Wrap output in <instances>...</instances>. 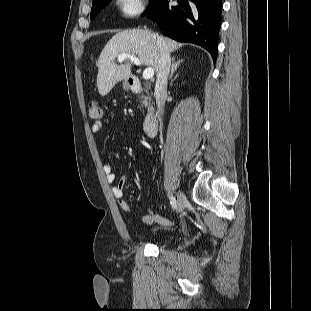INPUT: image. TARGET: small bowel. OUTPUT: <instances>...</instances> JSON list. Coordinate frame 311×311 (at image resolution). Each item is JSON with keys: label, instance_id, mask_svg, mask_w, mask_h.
Returning <instances> with one entry per match:
<instances>
[{"label": "small bowel", "instance_id": "small-bowel-1", "mask_svg": "<svg viewBox=\"0 0 311 311\" xmlns=\"http://www.w3.org/2000/svg\"><path fill=\"white\" fill-rule=\"evenodd\" d=\"M102 128V123L101 122H95L92 124L91 126V131L93 133H97L101 130ZM103 171L106 175V179L110 184H114L117 181V175L114 171L113 165L111 163H105L103 165ZM126 177H121L118 180V183L116 185L112 186V193L113 195L117 198L118 203L120 208L122 209V211H124L125 213H129L130 212V206L127 203V201L124 199V187L126 184ZM140 222L143 225H151L153 223H159L163 226H169L172 224V222L170 220H168L167 218L161 217L158 214H155L153 211H149L146 214H143L140 217Z\"/></svg>", "mask_w": 311, "mask_h": 311}]
</instances>
